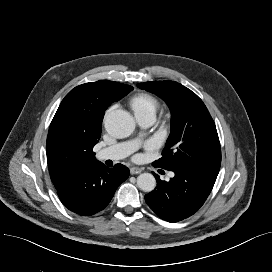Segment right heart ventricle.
Wrapping results in <instances>:
<instances>
[{
  "label": "right heart ventricle",
  "instance_id": "obj_1",
  "mask_svg": "<svg viewBox=\"0 0 272 272\" xmlns=\"http://www.w3.org/2000/svg\"><path fill=\"white\" fill-rule=\"evenodd\" d=\"M130 107L137 120L154 118L160 107L159 100L152 94L142 92L131 98Z\"/></svg>",
  "mask_w": 272,
  "mask_h": 272
}]
</instances>
